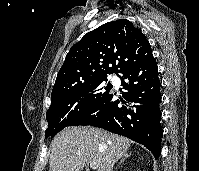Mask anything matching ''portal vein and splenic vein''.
I'll return each instance as SVG.
<instances>
[{
  "label": "portal vein and splenic vein",
  "instance_id": "obj_1",
  "mask_svg": "<svg viewBox=\"0 0 199 171\" xmlns=\"http://www.w3.org/2000/svg\"><path fill=\"white\" fill-rule=\"evenodd\" d=\"M90 167H91L92 169H96V168H97V166H96L95 163H91V164H90Z\"/></svg>",
  "mask_w": 199,
  "mask_h": 171
}]
</instances>
